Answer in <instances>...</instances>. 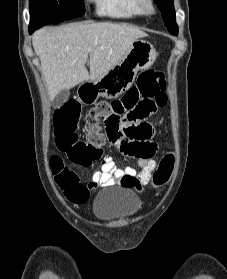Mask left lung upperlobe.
<instances>
[{"label":"left lung upper lobe","instance_id":"left-lung-upper-lobe-1","mask_svg":"<svg viewBox=\"0 0 227 279\" xmlns=\"http://www.w3.org/2000/svg\"><path fill=\"white\" fill-rule=\"evenodd\" d=\"M154 2L158 5V8L162 12V17L167 27L168 31L171 34H178V26L175 21V9L173 0H154Z\"/></svg>","mask_w":227,"mask_h":279}]
</instances>
